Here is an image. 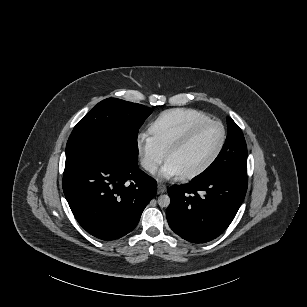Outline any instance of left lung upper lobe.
I'll use <instances>...</instances> for the list:
<instances>
[{
  "label": "left lung upper lobe",
  "mask_w": 307,
  "mask_h": 307,
  "mask_svg": "<svg viewBox=\"0 0 307 307\" xmlns=\"http://www.w3.org/2000/svg\"><path fill=\"white\" fill-rule=\"evenodd\" d=\"M228 134L217 158L201 174L192 180H199L218 173L236 172L247 173V147L241 129L230 118H227Z\"/></svg>",
  "instance_id": "left-lung-upper-lobe-1"
}]
</instances>
